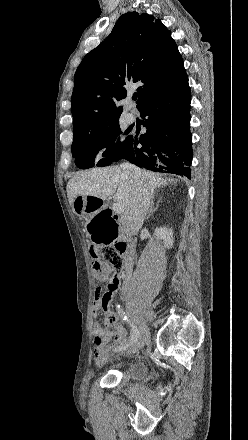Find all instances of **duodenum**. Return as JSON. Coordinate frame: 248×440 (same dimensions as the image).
I'll return each mask as SVG.
<instances>
[{"label": "duodenum", "mask_w": 248, "mask_h": 440, "mask_svg": "<svg viewBox=\"0 0 248 440\" xmlns=\"http://www.w3.org/2000/svg\"><path fill=\"white\" fill-rule=\"evenodd\" d=\"M115 246L118 251L124 256L126 263H128V261L130 260V256L133 252L132 244L127 239L119 236L118 241H115Z\"/></svg>", "instance_id": "duodenum-1"}]
</instances>
